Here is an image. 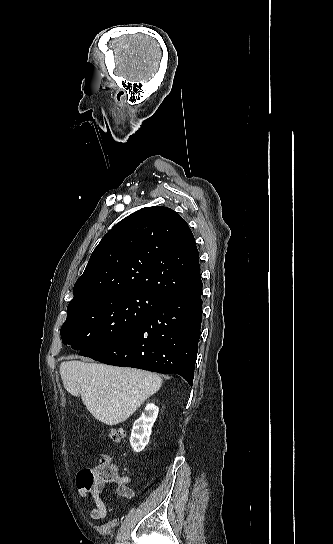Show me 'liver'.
Here are the masks:
<instances>
[{
	"label": "liver",
	"mask_w": 333,
	"mask_h": 544,
	"mask_svg": "<svg viewBox=\"0 0 333 544\" xmlns=\"http://www.w3.org/2000/svg\"><path fill=\"white\" fill-rule=\"evenodd\" d=\"M60 375L67 392L80 395L92 416L110 426L128 419L162 385L152 372L82 361L62 362Z\"/></svg>",
	"instance_id": "1"
}]
</instances>
